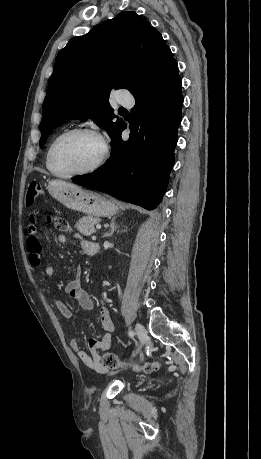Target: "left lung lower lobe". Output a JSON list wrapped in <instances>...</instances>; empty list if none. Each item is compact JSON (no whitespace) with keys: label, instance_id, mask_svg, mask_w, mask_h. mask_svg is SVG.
Here are the masks:
<instances>
[{"label":"left lung lower lobe","instance_id":"1","mask_svg":"<svg viewBox=\"0 0 261 459\" xmlns=\"http://www.w3.org/2000/svg\"><path fill=\"white\" fill-rule=\"evenodd\" d=\"M134 97L132 119L113 138L109 160L72 181L153 210L166 192L181 122L183 97L177 62ZM127 127L131 132L124 142L121 132Z\"/></svg>","mask_w":261,"mask_h":459}]
</instances>
